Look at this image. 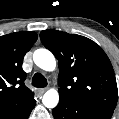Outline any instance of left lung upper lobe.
<instances>
[{
	"mask_svg": "<svg viewBox=\"0 0 119 119\" xmlns=\"http://www.w3.org/2000/svg\"><path fill=\"white\" fill-rule=\"evenodd\" d=\"M43 45L59 62L60 99L84 108L114 111L118 90L111 62L94 41L58 30L40 33Z\"/></svg>",
	"mask_w": 119,
	"mask_h": 119,
	"instance_id": "5c2ea615",
	"label": "left lung upper lobe"
}]
</instances>
